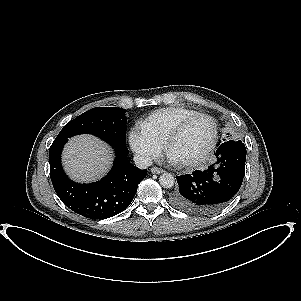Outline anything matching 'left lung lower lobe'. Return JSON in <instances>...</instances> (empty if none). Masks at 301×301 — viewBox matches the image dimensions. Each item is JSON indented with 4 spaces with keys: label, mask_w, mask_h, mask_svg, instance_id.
Wrapping results in <instances>:
<instances>
[{
    "label": "left lung lower lobe",
    "mask_w": 301,
    "mask_h": 301,
    "mask_svg": "<svg viewBox=\"0 0 301 301\" xmlns=\"http://www.w3.org/2000/svg\"><path fill=\"white\" fill-rule=\"evenodd\" d=\"M215 155L216 163L206 171L197 170L191 175L177 177L179 188L171 197L173 205L187 212L209 214L223 208L236 196L245 173L244 144L224 142Z\"/></svg>",
    "instance_id": "left-lung-lower-lobe-1"
}]
</instances>
